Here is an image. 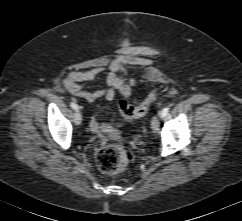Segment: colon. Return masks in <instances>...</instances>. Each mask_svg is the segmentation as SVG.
<instances>
[{"label": "colon", "instance_id": "obj_1", "mask_svg": "<svg viewBox=\"0 0 242 221\" xmlns=\"http://www.w3.org/2000/svg\"><path fill=\"white\" fill-rule=\"evenodd\" d=\"M156 99V91H152L138 106H132L126 101L119 103V113L123 118L131 119L145 115ZM115 134V132H113ZM132 161L130 150L119 144L102 146L96 153V163L100 171L108 176L125 173Z\"/></svg>", "mask_w": 242, "mask_h": 221}]
</instances>
